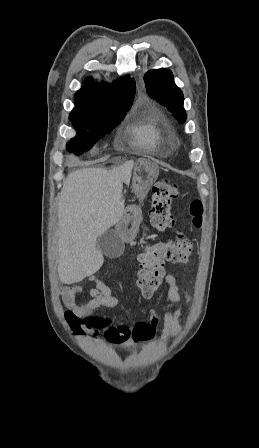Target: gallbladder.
I'll return each instance as SVG.
<instances>
[{"instance_id":"obj_1","label":"gallbladder","mask_w":259,"mask_h":448,"mask_svg":"<svg viewBox=\"0 0 259 448\" xmlns=\"http://www.w3.org/2000/svg\"><path fill=\"white\" fill-rule=\"evenodd\" d=\"M97 250L107 258H119L124 252V242L118 238L114 230H107L97 238Z\"/></svg>"}]
</instances>
